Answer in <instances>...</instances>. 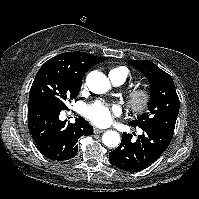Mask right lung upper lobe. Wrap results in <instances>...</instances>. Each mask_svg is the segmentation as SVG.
<instances>
[{"label": "right lung upper lobe", "instance_id": "cb5924a9", "mask_svg": "<svg viewBox=\"0 0 199 199\" xmlns=\"http://www.w3.org/2000/svg\"><path fill=\"white\" fill-rule=\"evenodd\" d=\"M105 57H97L86 52H66L46 61L42 67L51 68L83 79L85 72L93 65L104 62Z\"/></svg>", "mask_w": 199, "mask_h": 199}]
</instances>
